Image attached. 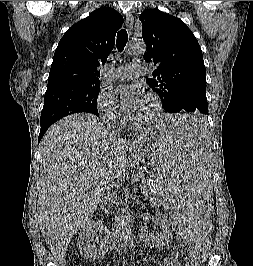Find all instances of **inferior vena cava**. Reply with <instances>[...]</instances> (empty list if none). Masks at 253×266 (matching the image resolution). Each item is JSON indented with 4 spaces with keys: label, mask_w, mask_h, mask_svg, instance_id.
<instances>
[{
    "label": "inferior vena cava",
    "mask_w": 253,
    "mask_h": 266,
    "mask_svg": "<svg viewBox=\"0 0 253 266\" xmlns=\"http://www.w3.org/2000/svg\"><path fill=\"white\" fill-rule=\"evenodd\" d=\"M105 123L107 125L106 133L111 137L119 138L121 135V129L116 127V118L108 116L105 118ZM106 199L109 201L111 200V202H114V200L116 199V194L108 191ZM115 220L118 222V214Z\"/></svg>",
    "instance_id": "obj_1"
}]
</instances>
